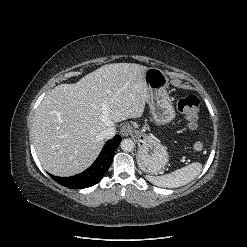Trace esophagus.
<instances>
[{
  "label": "esophagus",
  "instance_id": "obj_1",
  "mask_svg": "<svg viewBox=\"0 0 247 247\" xmlns=\"http://www.w3.org/2000/svg\"><path fill=\"white\" fill-rule=\"evenodd\" d=\"M120 133L122 136L127 137L133 133V129L129 124H125L121 127Z\"/></svg>",
  "mask_w": 247,
  "mask_h": 247
}]
</instances>
